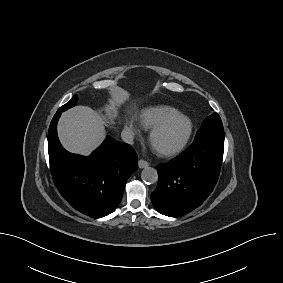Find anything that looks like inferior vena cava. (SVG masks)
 <instances>
[{
    "label": "inferior vena cava",
    "mask_w": 283,
    "mask_h": 283,
    "mask_svg": "<svg viewBox=\"0 0 283 283\" xmlns=\"http://www.w3.org/2000/svg\"><path fill=\"white\" fill-rule=\"evenodd\" d=\"M121 138L124 142L132 144L134 140V132L130 129H124L121 133Z\"/></svg>",
    "instance_id": "1"
}]
</instances>
